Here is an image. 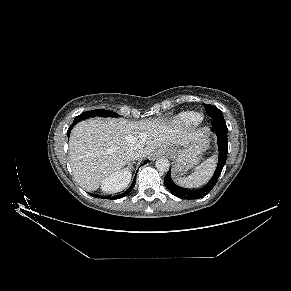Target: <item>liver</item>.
<instances>
[{
	"mask_svg": "<svg viewBox=\"0 0 291 291\" xmlns=\"http://www.w3.org/2000/svg\"><path fill=\"white\" fill-rule=\"evenodd\" d=\"M197 140V133L187 134L176 126L158 121L88 119L79 122L71 132L70 164L79 185L93 191L105 178L121 171L130 162L127 153L131 147L141 146V157H149L156 148L185 145Z\"/></svg>",
	"mask_w": 291,
	"mask_h": 291,
	"instance_id": "obj_1",
	"label": "liver"
}]
</instances>
